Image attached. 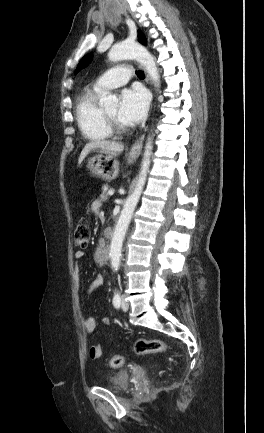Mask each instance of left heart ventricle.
<instances>
[{
    "mask_svg": "<svg viewBox=\"0 0 264 433\" xmlns=\"http://www.w3.org/2000/svg\"><path fill=\"white\" fill-rule=\"evenodd\" d=\"M105 111H106L109 115H111L112 117H114L115 119H117L119 122H121V121L118 119V107H117L116 105H115V106H112V107H109V108H106Z\"/></svg>",
    "mask_w": 264,
    "mask_h": 433,
    "instance_id": "1",
    "label": "left heart ventricle"
}]
</instances>
